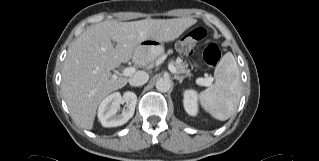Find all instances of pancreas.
<instances>
[{"label": "pancreas", "instance_id": "1", "mask_svg": "<svg viewBox=\"0 0 319 161\" xmlns=\"http://www.w3.org/2000/svg\"><path fill=\"white\" fill-rule=\"evenodd\" d=\"M171 64L175 66L177 74H184V77L191 76V71L188 69V64L184 63L180 58H178L176 61H171Z\"/></svg>", "mask_w": 319, "mask_h": 161}]
</instances>
